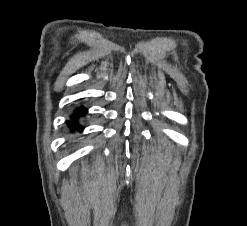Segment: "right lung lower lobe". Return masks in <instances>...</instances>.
<instances>
[{
  "label": "right lung lower lobe",
  "mask_w": 247,
  "mask_h": 226,
  "mask_svg": "<svg viewBox=\"0 0 247 226\" xmlns=\"http://www.w3.org/2000/svg\"><path fill=\"white\" fill-rule=\"evenodd\" d=\"M85 113H86V110H85L84 108H80V109H77V110H76V115H75V116L84 115ZM68 125H69L71 128H74V127L77 126L75 122H71V121L68 122ZM79 129L81 130L80 127H79Z\"/></svg>",
  "instance_id": "obj_1"
}]
</instances>
